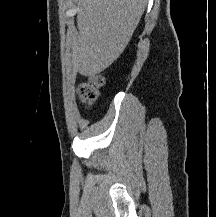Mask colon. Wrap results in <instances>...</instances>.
Wrapping results in <instances>:
<instances>
[{
  "instance_id": "obj_1",
  "label": "colon",
  "mask_w": 216,
  "mask_h": 217,
  "mask_svg": "<svg viewBox=\"0 0 216 217\" xmlns=\"http://www.w3.org/2000/svg\"><path fill=\"white\" fill-rule=\"evenodd\" d=\"M105 79L101 75H93L87 81L79 84L77 94L83 105H92L99 96V88L104 85Z\"/></svg>"
}]
</instances>
